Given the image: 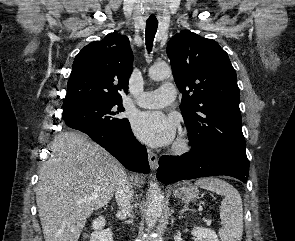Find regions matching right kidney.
Segmentation results:
<instances>
[{
	"label": "right kidney",
	"mask_w": 295,
	"mask_h": 241,
	"mask_svg": "<svg viewBox=\"0 0 295 241\" xmlns=\"http://www.w3.org/2000/svg\"><path fill=\"white\" fill-rule=\"evenodd\" d=\"M105 226V218L99 216L92 222L94 232L91 234L90 241H113L110 229H103Z\"/></svg>",
	"instance_id": "right-kidney-1"
}]
</instances>
